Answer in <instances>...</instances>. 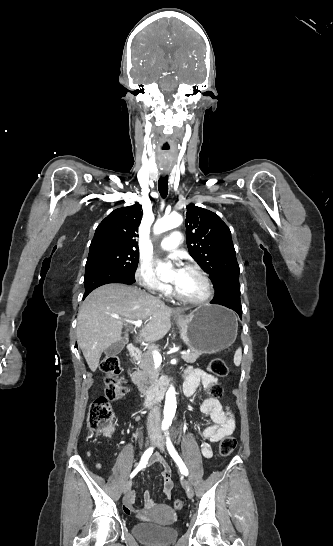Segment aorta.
Returning a JSON list of instances; mask_svg holds the SVG:
<instances>
[{"mask_svg":"<svg viewBox=\"0 0 333 546\" xmlns=\"http://www.w3.org/2000/svg\"><path fill=\"white\" fill-rule=\"evenodd\" d=\"M183 222V218L178 213H171L156 221L153 227L155 234H161L170 229L179 227ZM171 263H158L156 266V275L161 280H167L172 278L173 272L171 270ZM176 392L175 388L171 386L166 393L165 406H164V419L163 427L168 428L175 416L176 412Z\"/></svg>","mask_w":333,"mask_h":546,"instance_id":"aorta-1","label":"aorta"}]
</instances>
